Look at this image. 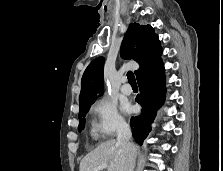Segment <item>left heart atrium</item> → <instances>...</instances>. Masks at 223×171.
<instances>
[{
  "instance_id": "obj_1",
  "label": "left heart atrium",
  "mask_w": 223,
  "mask_h": 171,
  "mask_svg": "<svg viewBox=\"0 0 223 171\" xmlns=\"http://www.w3.org/2000/svg\"><path fill=\"white\" fill-rule=\"evenodd\" d=\"M124 110H125L126 112H131V108H130L129 106H125V107H124Z\"/></svg>"
}]
</instances>
